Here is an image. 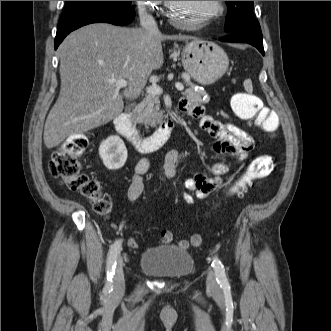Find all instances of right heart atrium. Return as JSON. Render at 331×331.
<instances>
[{
	"mask_svg": "<svg viewBox=\"0 0 331 331\" xmlns=\"http://www.w3.org/2000/svg\"><path fill=\"white\" fill-rule=\"evenodd\" d=\"M162 1H136L140 19H156L159 16Z\"/></svg>",
	"mask_w": 331,
	"mask_h": 331,
	"instance_id": "obj_1",
	"label": "right heart atrium"
}]
</instances>
